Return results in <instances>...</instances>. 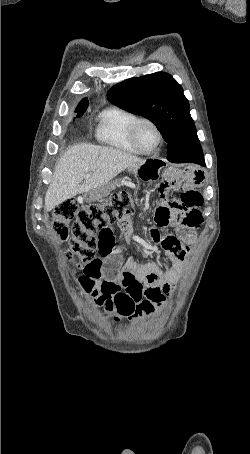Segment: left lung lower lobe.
Returning a JSON list of instances; mask_svg holds the SVG:
<instances>
[{"mask_svg": "<svg viewBox=\"0 0 250 454\" xmlns=\"http://www.w3.org/2000/svg\"><path fill=\"white\" fill-rule=\"evenodd\" d=\"M168 160L173 163H191L192 162V163L199 164L201 166H205L203 156L184 155V156H179V157H172Z\"/></svg>", "mask_w": 250, "mask_h": 454, "instance_id": "left-lung-lower-lobe-1", "label": "left lung lower lobe"}]
</instances>
